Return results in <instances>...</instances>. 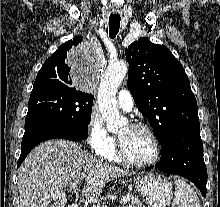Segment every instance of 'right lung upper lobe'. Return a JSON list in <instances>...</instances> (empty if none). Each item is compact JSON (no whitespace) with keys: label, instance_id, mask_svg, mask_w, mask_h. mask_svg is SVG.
Listing matches in <instances>:
<instances>
[{"label":"right lung upper lobe","instance_id":"obj_1","mask_svg":"<svg viewBox=\"0 0 220 207\" xmlns=\"http://www.w3.org/2000/svg\"><path fill=\"white\" fill-rule=\"evenodd\" d=\"M82 41L81 37H74L62 44L43 64L37 74L33 88L38 87H59L71 88L72 80L70 77L71 67L68 66V54L73 46H77Z\"/></svg>","mask_w":220,"mask_h":207}]
</instances>
